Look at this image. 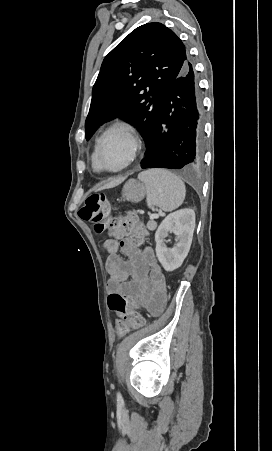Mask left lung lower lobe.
Segmentation results:
<instances>
[{
    "mask_svg": "<svg viewBox=\"0 0 272 451\" xmlns=\"http://www.w3.org/2000/svg\"><path fill=\"white\" fill-rule=\"evenodd\" d=\"M201 103L187 57L161 104L155 131L141 167L193 170L202 163Z\"/></svg>",
    "mask_w": 272,
    "mask_h": 451,
    "instance_id": "0a47b994",
    "label": "left lung lower lobe"
}]
</instances>
